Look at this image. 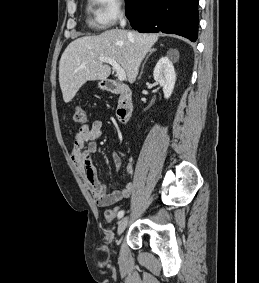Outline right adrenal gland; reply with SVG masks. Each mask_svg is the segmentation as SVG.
<instances>
[{
	"instance_id": "1",
	"label": "right adrenal gland",
	"mask_w": 259,
	"mask_h": 283,
	"mask_svg": "<svg viewBox=\"0 0 259 283\" xmlns=\"http://www.w3.org/2000/svg\"><path fill=\"white\" fill-rule=\"evenodd\" d=\"M154 52H155V49H151V50L149 51V54L147 55V57H146V59H145L143 65H142V70H141V73H140L138 79H140L141 76H142V74H143V69H144L145 63L147 62L148 58H149Z\"/></svg>"
}]
</instances>
